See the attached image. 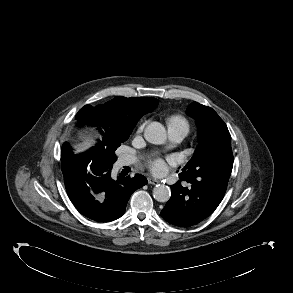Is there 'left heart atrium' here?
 Segmentation results:
<instances>
[{
    "instance_id": "left-heart-atrium-1",
    "label": "left heart atrium",
    "mask_w": 293,
    "mask_h": 293,
    "mask_svg": "<svg viewBox=\"0 0 293 293\" xmlns=\"http://www.w3.org/2000/svg\"><path fill=\"white\" fill-rule=\"evenodd\" d=\"M148 166L155 174H163L166 171V164L163 159H154L148 163Z\"/></svg>"
}]
</instances>
